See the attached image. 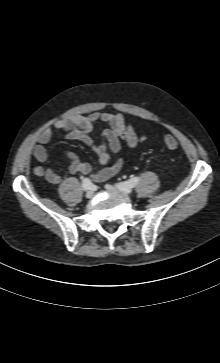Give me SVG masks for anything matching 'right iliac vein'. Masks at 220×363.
<instances>
[{
	"label": "right iliac vein",
	"mask_w": 220,
	"mask_h": 363,
	"mask_svg": "<svg viewBox=\"0 0 220 363\" xmlns=\"http://www.w3.org/2000/svg\"><path fill=\"white\" fill-rule=\"evenodd\" d=\"M93 196V191L92 190H89L87 193H86V197L87 198H91Z\"/></svg>",
	"instance_id": "1"
}]
</instances>
